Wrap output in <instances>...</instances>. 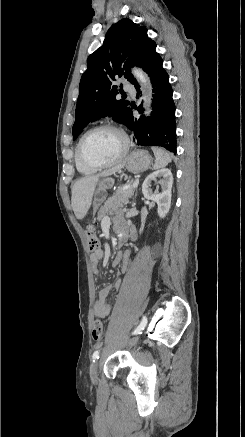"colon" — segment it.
<instances>
[{"label": "colon", "instance_id": "1", "mask_svg": "<svg viewBox=\"0 0 245 437\" xmlns=\"http://www.w3.org/2000/svg\"><path fill=\"white\" fill-rule=\"evenodd\" d=\"M87 246L90 251H95L98 248V238L95 233V229L92 226H88L85 230ZM92 336L95 341H100L103 337V323L100 320H96L93 329Z\"/></svg>", "mask_w": 245, "mask_h": 437}]
</instances>
